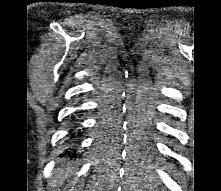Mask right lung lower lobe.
Segmentation results:
<instances>
[{
    "label": "right lung lower lobe",
    "instance_id": "98d812e1",
    "mask_svg": "<svg viewBox=\"0 0 221 191\" xmlns=\"http://www.w3.org/2000/svg\"><path fill=\"white\" fill-rule=\"evenodd\" d=\"M74 136H72V138H73ZM67 153H69L70 154V152L69 151H66ZM73 152H75V150H73Z\"/></svg>",
    "mask_w": 221,
    "mask_h": 191
}]
</instances>
